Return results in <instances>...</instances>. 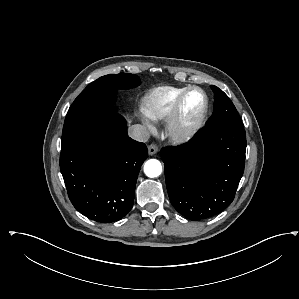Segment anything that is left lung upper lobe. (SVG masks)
<instances>
[{"instance_id":"5c2ea615","label":"left lung upper lobe","mask_w":299,"mask_h":299,"mask_svg":"<svg viewBox=\"0 0 299 299\" xmlns=\"http://www.w3.org/2000/svg\"><path fill=\"white\" fill-rule=\"evenodd\" d=\"M214 92V112L206 126L236 125L243 127L240 116L229 97L218 87L211 85Z\"/></svg>"}]
</instances>
